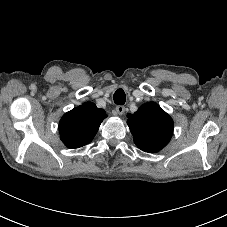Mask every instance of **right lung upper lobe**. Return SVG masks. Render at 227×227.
<instances>
[{
  "label": "right lung upper lobe",
  "mask_w": 227,
  "mask_h": 227,
  "mask_svg": "<svg viewBox=\"0 0 227 227\" xmlns=\"http://www.w3.org/2000/svg\"><path fill=\"white\" fill-rule=\"evenodd\" d=\"M105 111L87 102L63 115L59 123L61 140L69 148L90 143L104 118Z\"/></svg>",
  "instance_id": "obj_1"
}]
</instances>
